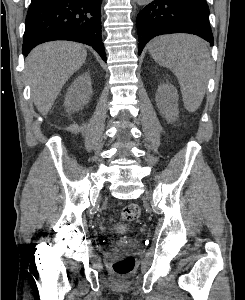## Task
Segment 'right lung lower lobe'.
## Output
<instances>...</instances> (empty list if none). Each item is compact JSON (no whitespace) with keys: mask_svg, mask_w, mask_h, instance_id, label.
Masks as SVG:
<instances>
[{"mask_svg":"<svg viewBox=\"0 0 245 300\" xmlns=\"http://www.w3.org/2000/svg\"><path fill=\"white\" fill-rule=\"evenodd\" d=\"M102 0H32L23 37L25 56L36 45L69 40L92 46L106 61L101 38Z\"/></svg>","mask_w":245,"mask_h":300,"instance_id":"1","label":"right lung lower lobe"}]
</instances>
